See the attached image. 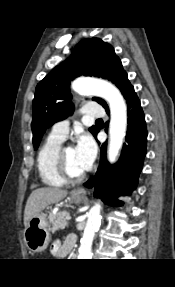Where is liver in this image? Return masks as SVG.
<instances>
[{
	"label": "liver",
	"instance_id": "obj_1",
	"mask_svg": "<svg viewBox=\"0 0 175 287\" xmlns=\"http://www.w3.org/2000/svg\"><path fill=\"white\" fill-rule=\"evenodd\" d=\"M67 194L66 190L51 187L38 188L32 191L24 210L25 227L32 216L40 214L48 205L58 203Z\"/></svg>",
	"mask_w": 175,
	"mask_h": 287
}]
</instances>
